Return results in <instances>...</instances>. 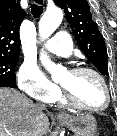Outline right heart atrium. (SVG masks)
Wrapping results in <instances>:
<instances>
[{
    "label": "right heart atrium",
    "mask_w": 117,
    "mask_h": 136,
    "mask_svg": "<svg viewBox=\"0 0 117 136\" xmlns=\"http://www.w3.org/2000/svg\"><path fill=\"white\" fill-rule=\"evenodd\" d=\"M17 82L23 93L44 103H52L59 95L58 87L53 84L31 60H25L17 73Z\"/></svg>",
    "instance_id": "right-heart-atrium-1"
}]
</instances>
